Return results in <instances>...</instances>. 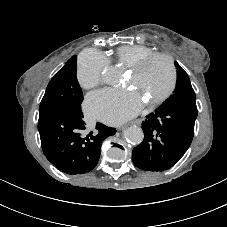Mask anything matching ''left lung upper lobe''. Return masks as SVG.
I'll use <instances>...</instances> for the list:
<instances>
[{
  "instance_id": "obj_1",
  "label": "left lung upper lobe",
  "mask_w": 227,
  "mask_h": 227,
  "mask_svg": "<svg viewBox=\"0 0 227 227\" xmlns=\"http://www.w3.org/2000/svg\"><path fill=\"white\" fill-rule=\"evenodd\" d=\"M175 65L178 69V80L174 94L171 95L170 98H168L161 106L174 103L196 106L195 92L191 86V82L187 73L180 67L178 63Z\"/></svg>"
}]
</instances>
